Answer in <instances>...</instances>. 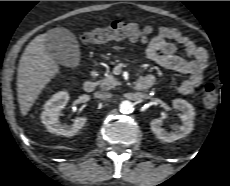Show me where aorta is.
Returning a JSON list of instances; mask_svg holds the SVG:
<instances>
[{"label": "aorta", "mask_w": 230, "mask_h": 186, "mask_svg": "<svg viewBox=\"0 0 230 186\" xmlns=\"http://www.w3.org/2000/svg\"><path fill=\"white\" fill-rule=\"evenodd\" d=\"M119 108H120V112L123 114H130L134 110L133 104L128 100L121 102Z\"/></svg>", "instance_id": "obj_1"}]
</instances>
